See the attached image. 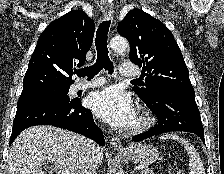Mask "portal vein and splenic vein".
I'll use <instances>...</instances> for the list:
<instances>
[{
    "label": "portal vein and splenic vein",
    "mask_w": 224,
    "mask_h": 174,
    "mask_svg": "<svg viewBox=\"0 0 224 174\" xmlns=\"http://www.w3.org/2000/svg\"><path fill=\"white\" fill-rule=\"evenodd\" d=\"M142 174H154L153 170H143Z\"/></svg>",
    "instance_id": "obj_1"
}]
</instances>
